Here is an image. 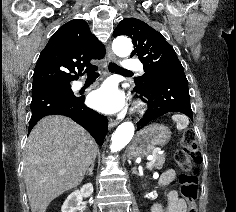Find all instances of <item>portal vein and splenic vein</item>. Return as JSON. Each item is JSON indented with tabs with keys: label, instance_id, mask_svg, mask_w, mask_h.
<instances>
[{
	"label": "portal vein and splenic vein",
	"instance_id": "1",
	"mask_svg": "<svg viewBox=\"0 0 236 212\" xmlns=\"http://www.w3.org/2000/svg\"><path fill=\"white\" fill-rule=\"evenodd\" d=\"M161 153H163V152L161 151V149H155V150L153 151L152 155H150L147 159H148V160H153L154 157H155L157 154H161ZM146 167L149 168V165H147ZM60 173L62 174V173H64V171L61 170Z\"/></svg>",
	"mask_w": 236,
	"mask_h": 212
}]
</instances>
